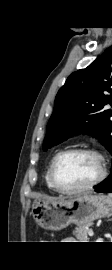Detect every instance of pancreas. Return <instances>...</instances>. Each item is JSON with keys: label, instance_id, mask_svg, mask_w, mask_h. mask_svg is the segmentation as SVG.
I'll return each instance as SVG.
<instances>
[{"label": "pancreas", "instance_id": "cf45deb5", "mask_svg": "<svg viewBox=\"0 0 112 270\" xmlns=\"http://www.w3.org/2000/svg\"><path fill=\"white\" fill-rule=\"evenodd\" d=\"M90 224L78 226L73 231V235L78 239L79 242H88V232Z\"/></svg>", "mask_w": 112, "mask_h": 270}]
</instances>
